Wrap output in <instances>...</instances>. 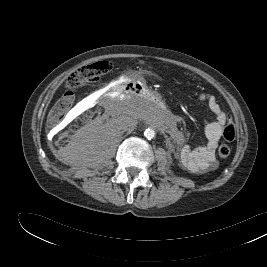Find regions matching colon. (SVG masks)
<instances>
[{
  "label": "colon",
  "instance_id": "obj_1",
  "mask_svg": "<svg viewBox=\"0 0 267 267\" xmlns=\"http://www.w3.org/2000/svg\"><path fill=\"white\" fill-rule=\"evenodd\" d=\"M108 61H99L90 65L82 66L74 71L67 79L66 86L68 90L61 96L52 108L48 121L55 125L59 123L65 114L72 107L74 102L73 89H76L86 83L97 81L110 69ZM236 131L234 124L228 122L223 130V137L226 141L235 139ZM231 153V148L227 143H222L218 148V155L221 158H227Z\"/></svg>",
  "mask_w": 267,
  "mask_h": 267
}]
</instances>
